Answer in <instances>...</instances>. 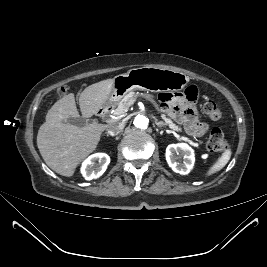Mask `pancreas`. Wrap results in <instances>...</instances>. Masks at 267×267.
Listing matches in <instances>:
<instances>
[{
  "instance_id": "1",
  "label": "pancreas",
  "mask_w": 267,
  "mask_h": 267,
  "mask_svg": "<svg viewBox=\"0 0 267 267\" xmlns=\"http://www.w3.org/2000/svg\"><path fill=\"white\" fill-rule=\"evenodd\" d=\"M136 97V94L134 92H130L127 95H125L120 101L114 103L113 108H115L113 115L115 116H121L125 114L130 104L132 103L133 99ZM162 111V110H161ZM162 118L165 121V124L169 126L173 131L181 132L182 129L177 126L170 118H167L165 114H162Z\"/></svg>"
}]
</instances>
